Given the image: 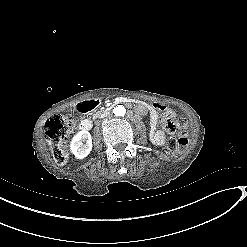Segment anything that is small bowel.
<instances>
[{
    "instance_id": "small-bowel-1",
    "label": "small bowel",
    "mask_w": 247,
    "mask_h": 247,
    "mask_svg": "<svg viewBox=\"0 0 247 247\" xmlns=\"http://www.w3.org/2000/svg\"><path fill=\"white\" fill-rule=\"evenodd\" d=\"M168 112H170V111H168ZM148 113H149V117H150L151 123L155 125V124L157 123L158 119H159V112L155 111V110L151 107V105H149V106H148ZM171 113L174 115V117H175V119H176L177 126H178L180 129L184 130V129L186 128L185 123H184V122H183V121H182L175 113H173V112H171ZM151 139H152V142H153L155 145H157V146H162V145H164V143H165L166 137H165V134H164L163 131H161V130H156V131H154V132L152 133Z\"/></svg>"
}]
</instances>
